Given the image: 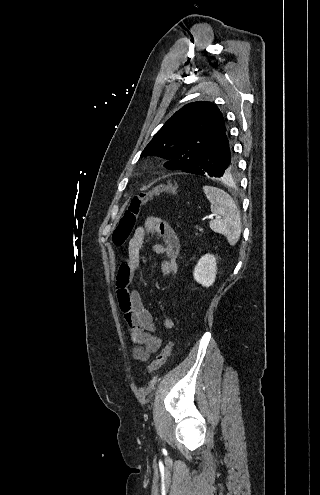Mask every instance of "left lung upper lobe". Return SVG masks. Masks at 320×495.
Instances as JSON below:
<instances>
[{"mask_svg":"<svg viewBox=\"0 0 320 495\" xmlns=\"http://www.w3.org/2000/svg\"><path fill=\"white\" fill-rule=\"evenodd\" d=\"M225 130L223 115L215 104L189 103L162 126L141 155L169 159L165 167L183 171L192 166Z\"/></svg>","mask_w":320,"mask_h":495,"instance_id":"5c2ea615","label":"left lung upper lobe"}]
</instances>
